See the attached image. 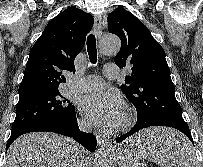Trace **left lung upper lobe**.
<instances>
[{
  "label": "left lung upper lobe",
  "mask_w": 203,
  "mask_h": 167,
  "mask_svg": "<svg viewBox=\"0 0 203 167\" xmlns=\"http://www.w3.org/2000/svg\"><path fill=\"white\" fill-rule=\"evenodd\" d=\"M108 30L121 39L115 63L120 68L130 66L132 70L121 90L135 106L137 122L182 118L165 52L149 29L119 7L108 15Z\"/></svg>",
  "instance_id": "1"
}]
</instances>
